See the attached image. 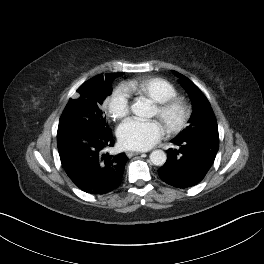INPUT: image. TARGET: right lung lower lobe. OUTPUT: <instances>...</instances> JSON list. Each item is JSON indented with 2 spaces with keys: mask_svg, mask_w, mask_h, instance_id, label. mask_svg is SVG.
I'll list each match as a JSON object with an SVG mask.
<instances>
[{
  "mask_svg": "<svg viewBox=\"0 0 264 264\" xmlns=\"http://www.w3.org/2000/svg\"><path fill=\"white\" fill-rule=\"evenodd\" d=\"M112 132L93 125L57 138L62 166L73 183L84 192L105 194L122 180L127 157L111 155Z\"/></svg>",
  "mask_w": 264,
  "mask_h": 264,
  "instance_id": "obj_1",
  "label": "right lung lower lobe"
}]
</instances>
